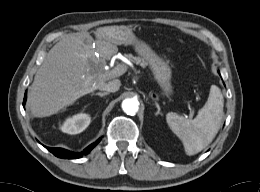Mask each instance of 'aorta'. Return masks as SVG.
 <instances>
[{
	"instance_id": "762f6f07",
	"label": "aorta",
	"mask_w": 260,
	"mask_h": 192,
	"mask_svg": "<svg viewBox=\"0 0 260 192\" xmlns=\"http://www.w3.org/2000/svg\"><path fill=\"white\" fill-rule=\"evenodd\" d=\"M122 109L128 115H135L139 110V103L136 99L127 98L122 102Z\"/></svg>"
}]
</instances>
